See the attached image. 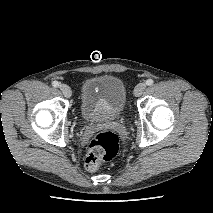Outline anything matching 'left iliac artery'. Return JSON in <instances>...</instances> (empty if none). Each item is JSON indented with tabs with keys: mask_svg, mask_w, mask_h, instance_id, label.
<instances>
[{
	"mask_svg": "<svg viewBox=\"0 0 213 213\" xmlns=\"http://www.w3.org/2000/svg\"><path fill=\"white\" fill-rule=\"evenodd\" d=\"M154 81L152 79L146 80V85L151 86L153 85Z\"/></svg>",
	"mask_w": 213,
	"mask_h": 213,
	"instance_id": "obj_1",
	"label": "left iliac artery"
}]
</instances>
